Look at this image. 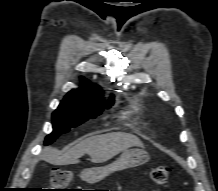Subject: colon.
Instances as JSON below:
<instances>
[{"instance_id":"obj_1","label":"colon","mask_w":218,"mask_h":191,"mask_svg":"<svg viewBox=\"0 0 218 191\" xmlns=\"http://www.w3.org/2000/svg\"><path fill=\"white\" fill-rule=\"evenodd\" d=\"M151 179L158 185L168 182L170 176V168L167 166L155 167L150 173ZM73 174L70 170H55L51 174V191H71L68 186L71 184Z\"/></svg>"}]
</instances>
